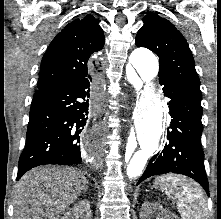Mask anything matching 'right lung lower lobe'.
Returning a JSON list of instances; mask_svg holds the SVG:
<instances>
[{
  "label": "right lung lower lobe",
  "instance_id": "right-lung-lower-lobe-1",
  "mask_svg": "<svg viewBox=\"0 0 221 219\" xmlns=\"http://www.w3.org/2000/svg\"><path fill=\"white\" fill-rule=\"evenodd\" d=\"M93 80L89 75L34 93L26 146L19 159L16 180L36 166L72 165L82 161L80 138L91 115Z\"/></svg>",
  "mask_w": 221,
  "mask_h": 219
}]
</instances>
